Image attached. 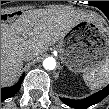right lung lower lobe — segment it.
I'll return each mask as SVG.
<instances>
[{
  "instance_id": "98d812e1",
  "label": "right lung lower lobe",
  "mask_w": 109,
  "mask_h": 109,
  "mask_svg": "<svg viewBox=\"0 0 109 109\" xmlns=\"http://www.w3.org/2000/svg\"><path fill=\"white\" fill-rule=\"evenodd\" d=\"M24 76H25V74H23L20 77L17 84H15L11 87H7V88H1V101L5 100L7 98H10L11 96L15 95L19 91Z\"/></svg>"
}]
</instances>
